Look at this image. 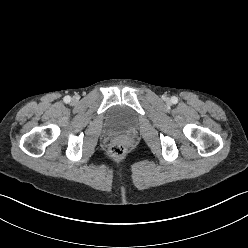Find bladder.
Instances as JSON below:
<instances>
[{
  "label": "bladder",
  "instance_id": "31cf9c89",
  "mask_svg": "<svg viewBox=\"0 0 248 248\" xmlns=\"http://www.w3.org/2000/svg\"><path fill=\"white\" fill-rule=\"evenodd\" d=\"M135 123V115L125 106H114L107 112L106 124L110 129H126Z\"/></svg>",
  "mask_w": 248,
  "mask_h": 248
}]
</instances>
